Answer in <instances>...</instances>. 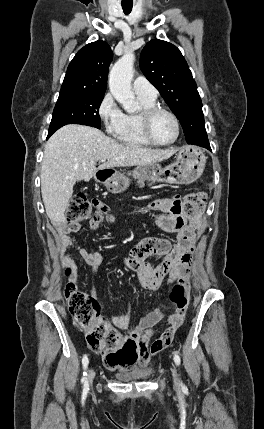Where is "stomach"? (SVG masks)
Here are the masks:
<instances>
[{"label":"stomach","mask_w":264,"mask_h":429,"mask_svg":"<svg viewBox=\"0 0 264 429\" xmlns=\"http://www.w3.org/2000/svg\"><path fill=\"white\" fill-rule=\"evenodd\" d=\"M175 159L172 164L164 168L155 163L137 166L133 170V177L153 182L191 184L201 176L206 164L204 153L194 146L180 148ZM94 177L112 193H121L129 186V179L111 168L98 170Z\"/></svg>","instance_id":"stomach-1"}]
</instances>
